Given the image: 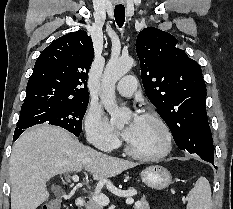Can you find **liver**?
I'll use <instances>...</instances> for the list:
<instances>
[{
  "mask_svg": "<svg viewBox=\"0 0 233 209\" xmlns=\"http://www.w3.org/2000/svg\"><path fill=\"white\" fill-rule=\"evenodd\" d=\"M136 165L85 146L59 127H34L12 149L11 209H36L44 203L49 198L46 182L55 175L85 169L94 180H107Z\"/></svg>",
  "mask_w": 233,
  "mask_h": 209,
  "instance_id": "1",
  "label": "liver"
}]
</instances>
